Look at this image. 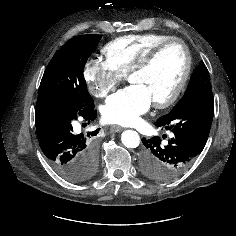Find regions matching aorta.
<instances>
[{
	"label": "aorta",
	"mask_w": 236,
	"mask_h": 236,
	"mask_svg": "<svg viewBox=\"0 0 236 236\" xmlns=\"http://www.w3.org/2000/svg\"><path fill=\"white\" fill-rule=\"evenodd\" d=\"M121 141L127 148H137L140 144V137L136 131L126 130L121 135Z\"/></svg>",
	"instance_id": "obj_1"
}]
</instances>
